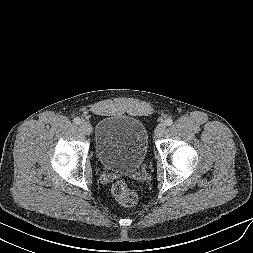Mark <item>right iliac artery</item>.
I'll return each instance as SVG.
<instances>
[{
  "label": "right iliac artery",
  "instance_id": "right-iliac-artery-1",
  "mask_svg": "<svg viewBox=\"0 0 253 253\" xmlns=\"http://www.w3.org/2000/svg\"><path fill=\"white\" fill-rule=\"evenodd\" d=\"M73 121H74V123L77 124V125L81 123V120H80V118H78V117H77V118H74Z\"/></svg>",
  "mask_w": 253,
  "mask_h": 253
}]
</instances>
